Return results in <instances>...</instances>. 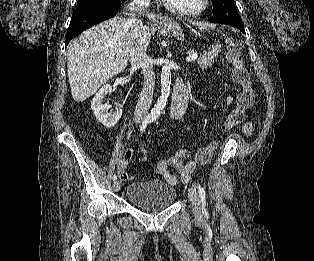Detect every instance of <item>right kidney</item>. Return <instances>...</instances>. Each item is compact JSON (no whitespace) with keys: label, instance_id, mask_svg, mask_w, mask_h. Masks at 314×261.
<instances>
[{"label":"right kidney","instance_id":"1","mask_svg":"<svg viewBox=\"0 0 314 261\" xmlns=\"http://www.w3.org/2000/svg\"><path fill=\"white\" fill-rule=\"evenodd\" d=\"M111 92V85L106 84L98 91V93L94 96L91 102V108L94 112L95 117L107 128L115 126L122 116L121 105L118 104L119 107L116 109L115 112H112L109 111V104L102 103L105 96Z\"/></svg>","mask_w":314,"mask_h":261}]
</instances>
